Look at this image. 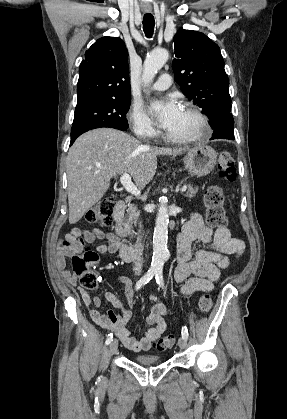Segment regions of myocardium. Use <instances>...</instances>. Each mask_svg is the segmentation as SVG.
I'll list each match as a JSON object with an SVG mask.
<instances>
[{
    "label": "myocardium",
    "mask_w": 287,
    "mask_h": 419,
    "mask_svg": "<svg viewBox=\"0 0 287 419\" xmlns=\"http://www.w3.org/2000/svg\"><path fill=\"white\" fill-rule=\"evenodd\" d=\"M183 108L198 120L200 131L190 137H176L166 132L165 138L175 144H192L208 138L211 134V127L207 117L191 104H185Z\"/></svg>",
    "instance_id": "f54148a6"
}]
</instances>
